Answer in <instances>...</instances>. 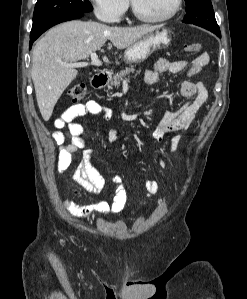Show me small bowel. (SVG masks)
Returning <instances> with one entry per match:
<instances>
[{"label":"small bowel","instance_id":"small-bowel-1","mask_svg":"<svg viewBox=\"0 0 247 299\" xmlns=\"http://www.w3.org/2000/svg\"><path fill=\"white\" fill-rule=\"evenodd\" d=\"M209 55L206 52L199 54L191 63L184 60L168 61L160 59L154 65V68L147 70L144 74V82L153 85L159 82L163 73L177 74L187 69L188 77L199 75L202 69L207 65ZM180 94L192 100L183 105L178 110H166L153 131V136L158 141H162L167 133L186 130L192 124L196 114L206 102L208 92L203 82L196 83L185 80L180 85ZM91 115H101L104 119L109 120L113 117L112 109L102 106L95 100H87L84 103L74 104L68 107L58 118L55 119L54 125L56 130L52 138L59 146L57 170L59 173L64 172L71 165L74 157L81 151V160L72 174V181L79 188L90 195L99 194L105 187V179L99 173L93 163V152L87 149L84 138L83 126L76 122L78 117ZM67 128L70 135V142L66 143V134L63 129ZM119 140V131L113 128L109 135V141L116 143ZM179 141V136L171 139L168 152H172ZM158 166L165 167V159L160 158ZM112 181L115 185L114 196L111 203L99 201L92 205H79L73 201L64 202L67 210L75 217L89 219L95 214L107 215L120 213L127 203V195L124 189L122 179L119 175H114ZM149 196L158 191V183L155 180H146L144 184ZM74 194L79 197L77 189Z\"/></svg>","mask_w":247,"mask_h":299}]
</instances>
